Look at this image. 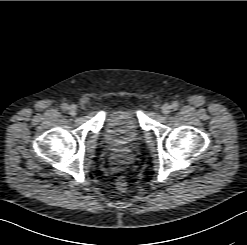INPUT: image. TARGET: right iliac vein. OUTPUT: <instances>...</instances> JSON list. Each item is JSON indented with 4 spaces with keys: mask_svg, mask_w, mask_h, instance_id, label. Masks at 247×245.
<instances>
[{
    "mask_svg": "<svg viewBox=\"0 0 247 245\" xmlns=\"http://www.w3.org/2000/svg\"><path fill=\"white\" fill-rule=\"evenodd\" d=\"M68 112L71 116H75L77 114V107L75 105L69 106Z\"/></svg>",
    "mask_w": 247,
    "mask_h": 245,
    "instance_id": "obj_1",
    "label": "right iliac vein"
}]
</instances>
